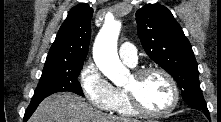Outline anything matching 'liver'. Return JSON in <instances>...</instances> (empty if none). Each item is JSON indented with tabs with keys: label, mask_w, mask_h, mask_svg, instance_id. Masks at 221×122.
Wrapping results in <instances>:
<instances>
[{
	"label": "liver",
	"mask_w": 221,
	"mask_h": 122,
	"mask_svg": "<svg viewBox=\"0 0 221 122\" xmlns=\"http://www.w3.org/2000/svg\"><path fill=\"white\" fill-rule=\"evenodd\" d=\"M29 122H139L104 114L73 93H56L45 98Z\"/></svg>",
	"instance_id": "liver-1"
}]
</instances>
